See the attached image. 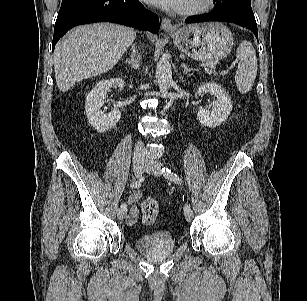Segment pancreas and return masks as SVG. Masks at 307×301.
<instances>
[{"label": "pancreas", "instance_id": "pancreas-1", "mask_svg": "<svg viewBox=\"0 0 307 301\" xmlns=\"http://www.w3.org/2000/svg\"><path fill=\"white\" fill-rule=\"evenodd\" d=\"M212 73H213L214 75H216V72H215V71H213Z\"/></svg>", "mask_w": 307, "mask_h": 301}]
</instances>
